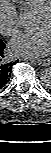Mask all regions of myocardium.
Masks as SVG:
<instances>
[{
	"label": "myocardium",
	"mask_w": 51,
	"mask_h": 153,
	"mask_svg": "<svg viewBox=\"0 0 51 153\" xmlns=\"http://www.w3.org/2000/svg\"><path fill=\"white\" fill-rule=\"evenodd\" d=\"M38 14L41 16H47L51 18V5L47 7L46 9L40 11Z\"/></svg>",
	"instance_id": "obj_1"
}]
</instances>
